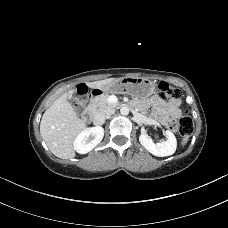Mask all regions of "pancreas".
Masks as SVG:
<instances>
[{
	"label": "pancreas",
	"mask_w": 228,
	"mask_h": 228,
	"mask_svg": "<svg viewBox=\"0 0 228 228\" xmlns=\"http://www.w3.org/2000/svg\"><path fill=\"white\" fill-rule=\"evenodd\" d=\"M108 99V95L100 96L97 99L93 100L90 106L96 112H103L106 110L114 109L119 105L118 103H110Z\"/></svg>",
	"instance_id": "obj_1"
}]
</instances>
